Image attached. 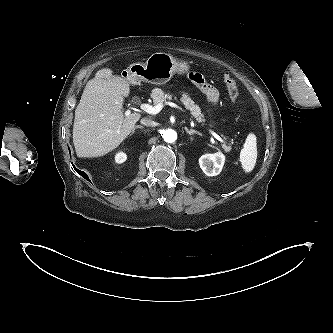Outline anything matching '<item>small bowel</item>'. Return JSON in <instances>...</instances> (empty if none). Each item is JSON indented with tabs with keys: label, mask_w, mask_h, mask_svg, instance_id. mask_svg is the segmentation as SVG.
Returning a JSON list of instances; mask_svg holds the SVG:
<instances>
[{
	"label": "small bowel",
	"mask_w": 333,
	"mask_h": 333,
	"mask_svg": "<svg viewBox=\"0 0 333 333\" xmlns=\"http://www.w3.org/2000/svg\"><path fill=\"white\" fill-rule=\"evenodd\" d=\"M189 78L195 86L206 95L208 101L216 105L219 100V93L215 87L209 84L204 77L199 73H190Z\"/></svg>",
	"instance_id": "obj_1"
}]
</instances>
